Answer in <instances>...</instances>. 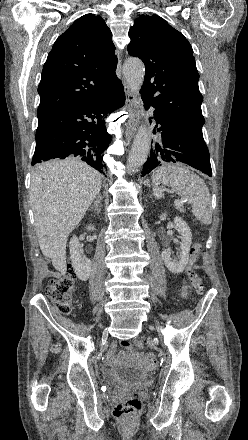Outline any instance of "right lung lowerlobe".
Listing matches in <instances>:
<instances>
[{"instance_id":"right-lung-lower-lobe-1","label":"right lung lower lobe","mask_w":248,"mask_h":440,"mask_svg":"<svg viewBox=\"0 0 248 440\" xmlns=\"http://www.w3.org/2000/svg\"><path fill=\"white\" fill-rule=\"evenodd\" d=\"M124 103L123 85L117 79L105 94L39 118L32 165L53 158L77 157L105 174L102 159L111 137L104 119Z\"/></svg>"}]
</instances>
